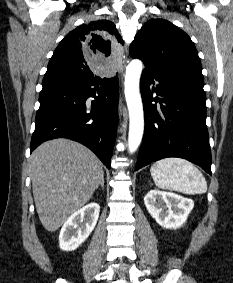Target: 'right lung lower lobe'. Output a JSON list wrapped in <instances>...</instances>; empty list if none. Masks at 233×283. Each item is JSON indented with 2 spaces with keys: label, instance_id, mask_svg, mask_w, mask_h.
Wrapping results in <instances>:
<instances>
[{
  "label": "right lung lower lobe",
  "instance_id": "obj_1",
  "mask_svg": "<svg viewBox=\"0 0 233 283\" xmlns=\"http://www.w3.org/2000/svg\"><path fill=\"white\" fill-rule=\"evenodd\" d=\"M31 152L55 138L78 141L110 169L118 111V77L50 80L42 83ZM88 97L95 98L91 107Z\"/></svg>",
  "mask_w": 233,
  "mask_h": 283
}]
</instances>
